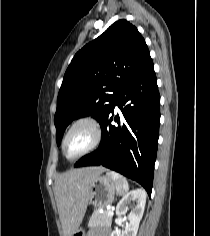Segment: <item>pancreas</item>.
<instances>
[{
    "instance_id": "1",
    "label": "pancreas",
    "mask_w": 210,
    "mask_h": 236,
    "mask_svg": "<svg viewBox=\"0 0 210 236\" xmlns=\"http://www.w3.org/2000/svg\"><path fill=\"white\" fill-rule=\"evenodd\" d=\"M112 223V215L108 214V211H104L100 213L98 210H95L90 217L88 226L95 227V226H111Z\"/></svg>"
}]
</instances>
